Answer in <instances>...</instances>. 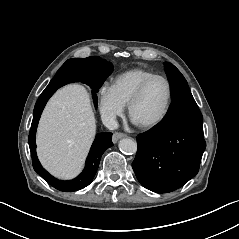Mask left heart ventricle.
<instances>
[{
  "label": "left heart ventricle",
  "instance_id": "b2bd125f",
  "mask_svg": "<svg viewBox=\"0 0 239 239\" xmlns=\"http://www.w3.org/2000/svg\"><path fill=\"white\" fill-rule=\"evenodd\" d=\"M167 97L166 83L161 79L153 81L134 108V120L138 123H147L158 118L165 108Z\"/></svg>",
  "mask_w": 239,
  "mask_h": 239
}]
</instances>
